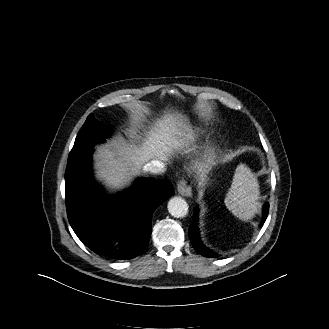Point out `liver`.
<instances>
[{
    "label": "liver",
    "instance_id": "1",
    "mask_svg": "<svg viewBox=\"0 0 329 329\" xmlns=\"http://www.w3.org/2000/svg\"><path fill=\"white\" fill-rule=\"evenodd\" d=\"M138 121V118H134ZM187 119L167 113L146 132L140 147L125 141L101 147L95 155L96 177L111 189L128 185L133 176L151 159L168 161L174 150L182 148L189 131Z\"/></svg>",
    "mask_w": 329,
    "mask_h": 329
}]
</instances>
